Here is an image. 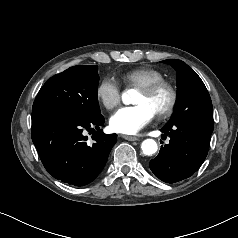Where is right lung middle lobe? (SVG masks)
Here are the masks:
<instances>
[{"label":"right lung middle lobe","mask_w":238,"mask_h":238,"mask_svg":"<svg viewBox=\"0 0 238 238\" xmlns=\"http://www.w3.org/2000/svg\"><path fill=\"white\" fill-rule=\"evenodd\" d=\"M96 65L73 66L51 77L40 89L33 113H61L85 119L101 115Z\"/></svg>","instance_id":"obj_1"}]
</instances>
